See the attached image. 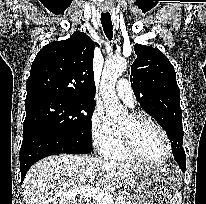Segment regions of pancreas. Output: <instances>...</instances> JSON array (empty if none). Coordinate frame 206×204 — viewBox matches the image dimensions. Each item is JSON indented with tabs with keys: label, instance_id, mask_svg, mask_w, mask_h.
Segmentation results:
<instances>
[{
	"label": "pancreas",
	"instance_id": "1",
	"mask_svg": "<svg viewBox=\"0 0 206 204\" xmlns=\"http://www.w3.org/2000/svg\"><path fill=\"white\" fill-rule=\"evenodd\" d=\"M118 195L122 196V198H123L120 202H118V204H132L131 201H130V198H131L130 194L128 193L127 190L120 191L118 193Z\"/></svg>",
	"mask_w": 206,
	"mask_h": 204
}]
</instances>
